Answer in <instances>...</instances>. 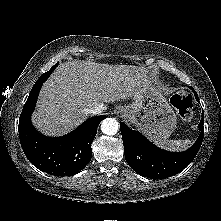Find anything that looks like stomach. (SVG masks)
Returning a JSON list of instances; mask_svg holds the SVG:
<instances>
[{
  "mask_svg": "<svg viewBox=\"0 0 221 221\" xmlns=\"http://www.w3.org/2000/svg\"><path fill=\"white\" fill-rule=\"evenodd\" d=\"M119 109L122 117L151 140H166L176 128L177 118L172 106L163 91L152 84L140 96H134L131 104Z\"/></svg>",
  "mask_w": 221,
  "mask_h": 221,
  "instance_id": "0dacf381",
  "label": "stomach"
}]
</instances>
